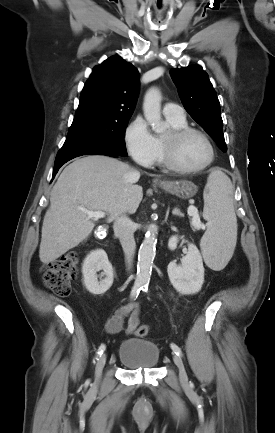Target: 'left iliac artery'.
Listing matches in <instances>:
<instances>
[{
  "mask_svg": "<svg viewBox=\"0 0 275 433\" xmlns=\"http://www.w3.org/2000/svg\"><path fill=\"white\" fill-rule=\"evenodd\" d=\"M147 289H148V286H144V289H143V291H147ZM171 348H172V350L174 351V353L176 354V355H178V356H182V351H181V349L176 345V344H171Z\"/></svg>",
  "mask_w": 275,
  "mask_h": 433,
  "instance_id": "left-iliac-artery-1",
  "label": "left iliac artery"
}]
</instances>
